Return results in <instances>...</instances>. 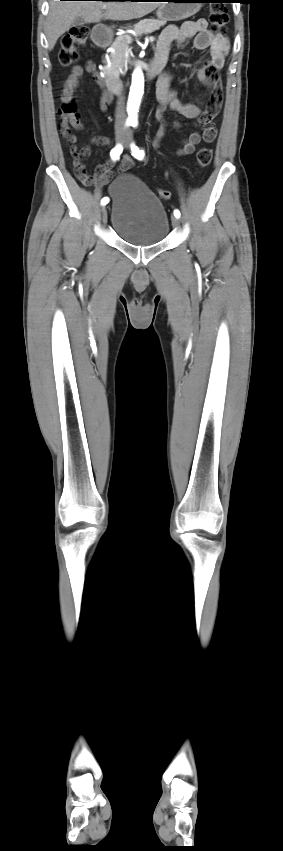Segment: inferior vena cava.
I'll return each instance as SVG.
<instances>
[{"label":"inferior vena cava","instance_id":"1","mask_svg":"<svg viewBox=\"0 0 283 851\" xmlns=\"http://www.w3.org/2000/svg\"><path fill=\"white\" fill-rule=\"evenodd\" d=\"M125 120H126L125 101H124V96L120 95L118 97V100H117V106H116V111H115V130L116 131L123 132V133L126 131Z\"/></svg>","mask_w":283,"mask_h":851}]
</instances>
